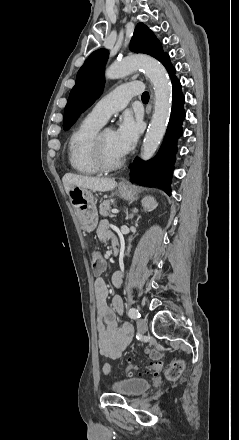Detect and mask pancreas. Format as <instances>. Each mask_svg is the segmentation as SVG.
<instances>
[{"label": "pancreas", "mask_w": 239, "mask_h": 440, "mask_svg": "<svg viewBox=\"0 0 239 440\" xmlns=\"http://www.w3.org/2000/svg\"><path fill=\"white\" fill-rule=\"evenodd\" d=\"M111 202L110 200H104L103 204H100L99 214L100 216H110V218H114L112 214H109Z\"/></svg>", "instance_id": "cf45deb5"}]
</instances>
